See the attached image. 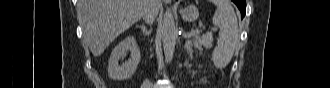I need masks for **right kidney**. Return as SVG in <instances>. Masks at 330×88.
Wrapping results in <instances>:
<instances>
[{"instance_id": "obj_1", "label": "right kidney", "mask_w": 330, "mask_h": 88, "mask_svg": "<svg viewBox=\"0 0 330 88\" xmlns=\"http://www.w3.org/2000/svg\"><path fill=\"white\" fill-rule=\"evenodd\" d=\"M130 51V58L124 64L119 65V60ZM141 55L134 36H127L113 49L108 62V74L114 80L130 78L136 71Z\"/></svg>"}]
</instances>
